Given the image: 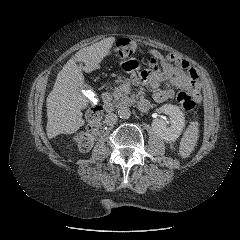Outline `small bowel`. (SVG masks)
I'll return each instance as SVG.
<instances>
[{"label": "small bowel", "mask_w": 240, "mask_h": 240, "mask_svg": "<svg viewBox=\"0 0 240 240\" xmlns=\"http://www.w3.org/2000/svg\"><path fill=\"white\" fill-rule=\"evenodd\" d=\"M149 54L152 68L142 72L135 82H148L153 89L152 98L155 102L161 103L174 98L173 89L188 91L197 102L200 101L198 76L186 60L173 53L163 55L154 49ZM165 82L169 84V88H160Z\"/></svg>", "instance_id": "small-bowel-1"}]
</instances>
